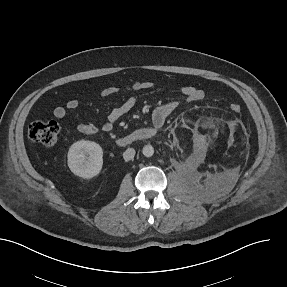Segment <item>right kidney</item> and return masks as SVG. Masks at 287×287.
I'll use <instances>...</instances> for the list:
<instances>
[{
    "label": "right kidney",
    "mask_w": 287,
    "mask_h": 287,
    "mask_svg": "<svg viewBox=\"0 0 287 287\" xmlns=\"http://www.w3.org/2000/svg\"><path fill=\"white\" fill-rule=\"evenodd\" d=\"M103 165V150L93 141L75 142L68 151V166L71 172L84 179L99 174Z\"/></svg>",
    "instance_id": "1"
}]
</instances>
